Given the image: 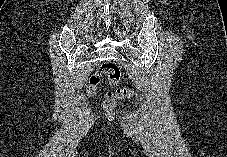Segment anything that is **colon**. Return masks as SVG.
Here are the masks:
<instances>
[{"instance_id":"5ec220e1","label":"colon","mask_w":227,"mask_h":157,"mask_svg":"<svg viewBox=\"0 0 227 157\" xmlns=\"http://www.w3.org/2000/svg\"><path fill=\"white\" fill-rule=\"evenodd\" d=\"M106 75L109 84L116 87L120 81L121 72L119 67L113 62H104L100 65L96 74H94L88 82V91L90 94L95 92L96 86L100 81V77ZM132 95V90L127 88H118L114 91H109L104 98L103 106L106 110L112 111L115 109L116 102L119 99L129 98Z\"/></svg>"}]
</instances>
